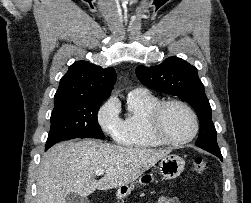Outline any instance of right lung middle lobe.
Listing matches in <instances>:
<instances>
[{
  "label": "right lung middle lobe",
  "mask_w": 251,
  "mask_h": 203,
  "mask_svg": "<svg viewBox=\"0 0 251 203\" xmlns=\"http://www.w3.org/2000/svg\"><path fill=\"white\" fill-rule=\"evenodd\" d=\"M102 100H80L55 106L45 150L59 141L74 138H104L97 120Z\"/></svg>",
  "instance_id": "dd1d6c3e"
}]
</instances>
